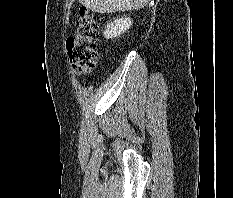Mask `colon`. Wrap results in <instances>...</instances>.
<instances>
[{"label": "colon", "instance_id": "1", "mask_svg": "<svg viewBox=\"0 0 233 198\" xmlns=\"http://www.w3.org/2000/svg\"><path fill=\"white\" fill-rule=\"evenodd\" d=\"M98 26L93 15L82 8L76 22V28L67 39L70 62L79 75L90 72L97 63L96 39Z\"/></svg>", "mask_w": 233, "mask_h": 198}]
</instances>
